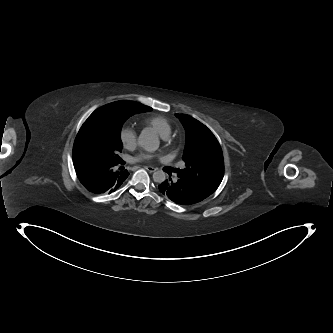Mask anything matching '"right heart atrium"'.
<instances>
[{
	"label": "right heart atrium",
	"mask_w": 333,
	"mask_h": 333,
	"mask_svg": "<svg viewBox=\"0 0 333 333\" xmlns=\"http://www.w3.org/2000/svg\"><path fill=\"white\" fill-rule=\"evenodd\" d=\"M120 141L125 149L132 150L137 145V133L133 127L125 126L120 130Z\"/></svg>",
	"instance_id": "right-heart-atrium-1"
}]
</instances>
